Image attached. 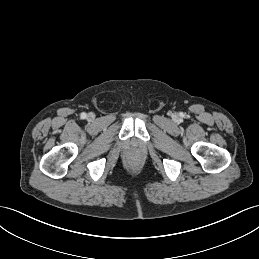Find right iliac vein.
Instances as JSON below:
<instances>
[{
  "label": "right iliac vein",
  "instance_id": "1",
  "mask_svg": "<svg viewBox=\"0 0 259 259\" xmlns=\"http://www.w3.org/2000/svg\"><path fill=\"white\" fill-rule=\"evenodd\" d=\"M88 118L92 119V118H93V115H92V114H89V115H88Z\"/></svg>",
  "mask_w": 259,
  "mask_h": 259
}]
</instances>
